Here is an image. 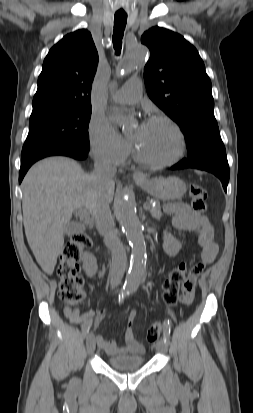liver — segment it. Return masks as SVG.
Returning <instances> with one entry per match:
<instances>
[{"label": "liver", "instance_id": "obj_1", "mask_svg": "<svg viewBox=\"0 0 253 413\" xmlns=\"http://www.w3.org/2000/svg\"><path fill=\"white\" fill-rule=\"evenodd\" d=\"M115 182L100 185L94 174L66 157L46 158L30 168L22 182L23 223L28 244L41 266L52 275L72 213L86 209L93 217L111 203Z\"/></svg>", "mask_w": 253, "mask_h": 413}]
</instances>
